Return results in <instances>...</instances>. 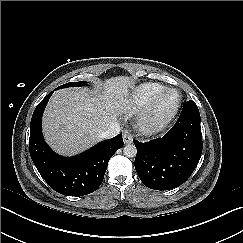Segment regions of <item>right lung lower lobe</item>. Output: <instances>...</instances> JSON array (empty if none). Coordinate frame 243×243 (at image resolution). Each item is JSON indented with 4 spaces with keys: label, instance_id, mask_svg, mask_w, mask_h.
Masks as SVG:
<instances>
[{
    "label": "right lung lower lobe",
    "instance_id": "98d812e1",
    "mask_svg": "<svg viewBox=\"0 0 243 243\" xmlns=\"http://www.w3.org/2000/svg\"><path fill=\"white\" fill-rule=\"evenodd\" d=\"M53 91L35 108L30 123L29 151L33 163L47 184L60 194L83 196L102 183L109 159L123 146L122 134L102 141L75 157L55 154L45 143L41 119Z\"/></svg>",
    "mask_w": 243,
    "mask_h": 243
}]
</instances>
